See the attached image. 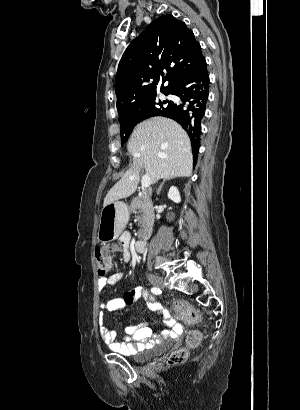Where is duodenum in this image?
Here are the masks:
<instances>
[{
	"label": "duodenum",
	"instance_id": "1",
	"mask_svg": "<svg viewBox=\"0 0 300 410\" xmlns=\"http://www.w3.org/2000/svg\"><path fill=\"white\" fill-rule=\"evenodd\" d=\"M148 240H149V238L148 237H141V238H139L135 243H134V249L137 251V252H141V251H143L145 248H146V246H147V244H148Z\"/></svg>",
	"mask_w": 300,
	"mask_h": 410
}]
</instances>
